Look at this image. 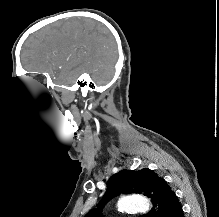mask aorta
Listing matches in <instances>:
<instances>
[{"mask_svg": "<svg viewBox=\"0 0 219 217\" xmlns=\"http://www.w3.org/2000/svg\"><path fill=\"white\" fill-rule=\"evenodd\" d=\"M117 207L120 211L144 212L149 210L150 202L141 195H129L119 199Z\"/></svg>", "mask_w": 219, "mask_h": 217, "instance_id": "obj_1", "label": "aorta"}]
</instances>
